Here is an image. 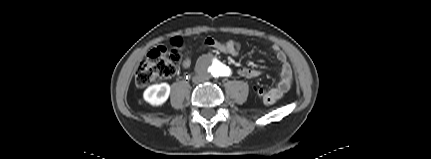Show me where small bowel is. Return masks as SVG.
<instances>
[{
	"label": "small bowel",
	"instance_id": "1",
	"mask_svg": "<svg viewBox=\"0 0 431 159\" xmlns=\"http://www.w3.org/2000/svg\"><path fill=\"white\" fill-rule=\"evenodd\" d=\"M205 45L208 47H214L215 49H236L237 57L239 55V44L234 40H227L224 42H220L218 40H214L212 38H208L205 40ZM274 51L276 52V59L281 64V72L280 79L277 85L270 89L269 91H265V95L262 96V100L267 105L274 104L278 99H280L285 93L289 91L293 83V72L290 63L288 62L285 54L280 51L277 47H274ZM183 68L187 69L191 66V58L190 56H185L182 62ZM238 73L240 76L253 79L257 78L261 75V71L257 69H251L249 67L243 66L239 68Z\"/></svg>",
	"mask_w": 431,
	"mask_h": 159
}]
</instances>
